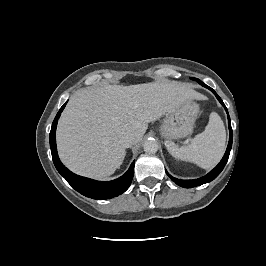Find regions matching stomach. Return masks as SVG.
<instances>
[{
	"label": "stomach",
	"instance_id": "stomach-1",
	"mask_svg": "<svg viewBox=\"0 0 266 266\" xmlns=\"http://www.w3.org/2000/svg\"><path fill=\"white\" fill-rule=\"evenodd\" d=\"M198 113L197 103L192 100L184 102L166 115L159 128L160 134L167 142L191 135Z\"/></svg>",
	"mask_w": 266,
	"mask_h": 266
}]
</instances>
